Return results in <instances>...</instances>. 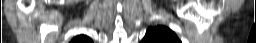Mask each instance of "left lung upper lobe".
Instances as JSON below:
<instances>
[{"mask_svg":"<svg viewBox=\"0 0 256 43\" xmlns=\"http://www.w3.org/2000/svg\"><path fill=\"white\" fill-rule=\"evenodd\" d=\"M141 43H181L176 34L165 26L150 27Z\"/></svg>","mask_w":256,"mask_h":43,"instance_id":"obj_1","label":"left lung upper lobe"}]
</instances>
